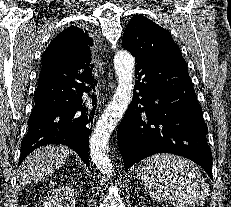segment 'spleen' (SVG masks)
I'll return each instance as SVG.
<instances>
[{"label":"spleen","instance_id":"3e777b00","mask_svg":"<svg viewBox=\"0 0 231 207\" xmlns=\"http://www.w3.org/2000/svg\"><path fill=\"white\" fill-rule=\"evenodd\" d=\"M137 176L153 200H168L174 207H195L204 203L209 188L197 166L189 160L156 154L138 165Z\"/></svg>","mask_w":231,"mask_h":207}]
</instances>
